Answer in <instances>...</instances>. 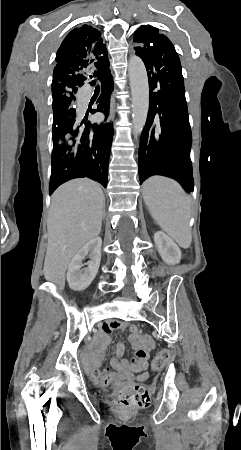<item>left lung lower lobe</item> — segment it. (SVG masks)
<instances>
[{"instance_id": "0a47b994", "label": "left lung lower lobe", "mask_w": 241, "mask_h": 450, "mask_svg": "<svg viewBox=\"0 0 241 450\" xmlns=\"http://www.w3.org/2000/svg\"><path fill=\"white\" fill-rule=\"evenodd\" d=\"M136 55L146 66L150 87L149 111L139 147L140 183L152 175H163L191 192V128L178 54L169 41L160 55Z\"/></svg>"}]
</instances>
